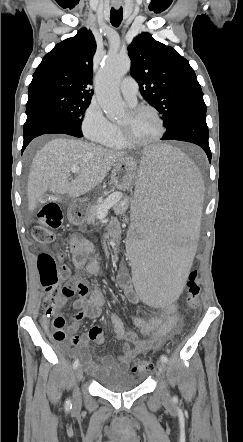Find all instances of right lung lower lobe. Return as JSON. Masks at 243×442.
I'll use <instances>...</instances> for the list:
<instances>
[{
    "mask_svg": "<svg viewBox=\"0 0 243 442\" xmlns=\"http://www.w3.org/2000/svg\"><path fill=\"white\" fill-rule=\"evenodd\" d=\"M27 120L24 124V142L22 151L32 139L43 134H68L82 137L80 130L68 120L46 108H32L26 111Z\"/></svg>",
    "mask_w": 243,
    "mask_h": 442,
    "instance_id": "98d812e1",
    "label": "right lung lower lobe"
}]
</instances>
